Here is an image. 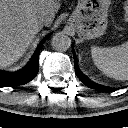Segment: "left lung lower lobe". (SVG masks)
Here are the masks:
<instances>
[{
	"label": "left lung lower lobe",
	"mask_w": 128,
	"mask_h": 128,
	"mask_svg": "<svg viewBox=\"0 0 128 128\" xmlns=\"http://www.w3.org/2000/svg\"><path fill=\"white\" fill-rule=\"evenodd\" d=\"M72 50H73V56H74L75 72H76L77 77L81 80V82H83L86 86H88L89 88H92V89L103 90V91L113 90L110 87H106V86H102L100 84L94 83L87 76L82 74L81 71L79 70V67H78L77 57H76V54L74 51V46H72Z\"/></svg>",
	"instance_id": "left-lung-lower-lobe-1"
}]
</instances>
